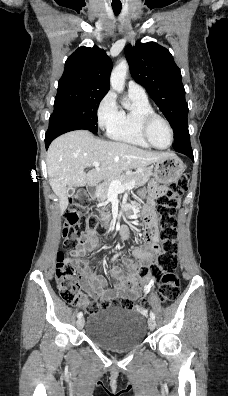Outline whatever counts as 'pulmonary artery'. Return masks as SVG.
Segmentation results:
<instances>
[{
	"mask_svg": "<svg viewBox=\"0 0 228 396\" xmlns=\"http://www.w3.org/2000/svg\"><path fill=\"white\" fill-rule=\"evenodd\" d=\"M128 92L131 95H135L139 97H147L145 89L134 80H130L128 82Z\"/></svg>",
	"mask_w": 228,
	"mask_h": 396,
	"instance_id": "obj_1",
	"label": "pulmonary artery"
}]
</instances>
